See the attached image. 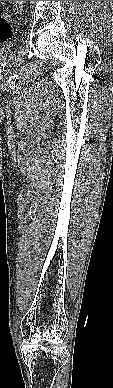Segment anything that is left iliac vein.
Returning a JSON list of instances; mask_svg holds the SVG:
<instances>
[{
    "label": "left iliac vein",
    "mask_w": 113,
    "mask_h": 388,
    "mask_svg": "<svg viewBox=\"0 0 113 388\" xmlns=\"http://www.w3.org/2000/svg\"><path fill=\"white\" fill-rule=\"evenodd\" d=\"M23 3L24 1H16V5L20 12L23 10Z\"/></svg>",
    "instance_id": "4c4485c4"
}]
</instances>
